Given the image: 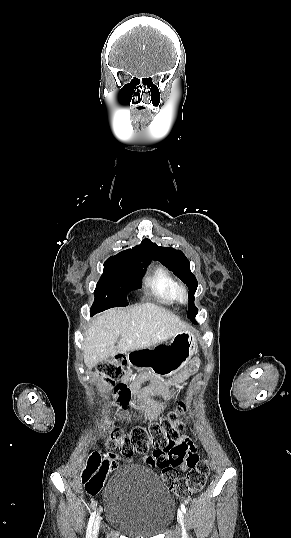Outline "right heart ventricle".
Listing matches in <instances>:
<instances>
[{"label": "right heart ventricle", "mask_w": 291, "mask_h": 538, "mask_svg": "<svg viewBox=\"0 0 291 538\" xmlns=\"http://www.w3.org/2000/svg\"><path fill=\"white\" fill-rule=\"evenodd\" d=\"M176 284L173 276L163 266H157L146 280L150 293L164 304L174 303Z\"/></svg>", "instance_id": "right-heart-ventricle-1"}]
</instances>
